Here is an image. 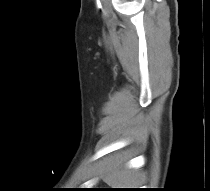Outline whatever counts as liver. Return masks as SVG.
<instances>
[{"instance_id": "obj_1", "label": "liver", "mask_w": 210, "mask_h": 191, "mask_svg": "<svg viewBox=\"0 0 210 191\" xmlns=\"http://www.w3.org/2000/svg\"><path fill=\"white\" fill-rule=\"evenodd\" d=\"M128 158L116 155L109 158L101 169V176L109 186H131L137 182L138 175L127 166Z\"/></svg>"}]
</instances>
